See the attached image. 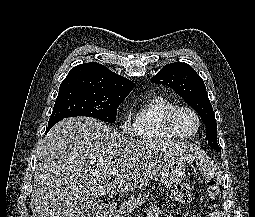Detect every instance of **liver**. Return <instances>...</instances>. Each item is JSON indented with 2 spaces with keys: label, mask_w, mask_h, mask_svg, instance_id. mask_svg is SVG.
I'll use <instances>...</instances> for the list:
<instances>
[{
  "label": "liver",
  "mask_w": 255,
  "mask_h": 217,
  "mask_svg": "<svg viewBox=\"0 0 255 217\" xmlns=\"http://www.w3.org/2000/svg\"><path fill=\"white\" fill-rule=\"evenodd\" d=\"M193 145L123 136L89 117L66 118L45 136L37 155L30 207L33 217H74L82 195L146 186L173 158H201ZM118 174L111 181V171Z\"/></svg>",
  "instance_id": "1"
}]
</instances>
